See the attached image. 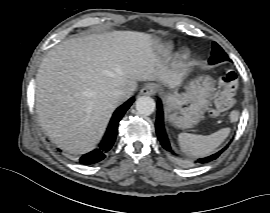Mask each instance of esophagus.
I'll use <instances>...</instances> for the list:
<instances>
[{
	"label": "esophagus",
	"instance_id": "34e87169",
	"mask_svg": "<svg viewBox=\"0 0 270 213\" xmlns=\"http://www.w3.org/2000/svg\"><path fill=\"white\" fill-rule=\"evenodd\" d=\"M159 90V87L156 84L148 83L140 91L141 95L152 96L155 95Z\"/></svg>",
	"mask_w": 270,
	"mask_h": 213
}]
</instances>
